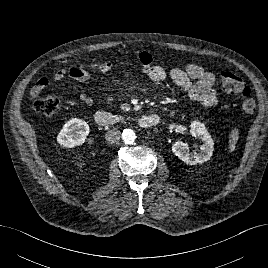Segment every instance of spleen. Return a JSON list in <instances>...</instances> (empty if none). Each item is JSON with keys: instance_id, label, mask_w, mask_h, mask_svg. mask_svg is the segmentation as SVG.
I'll list each match as a JSON object with an SVG mask.
<instances>
[{"instance_id": "3e777b00", "label": "spleen", "mask_w": 268, "mask_h": 268, "mask_svg": "<svg viewBox=\"0 0 268 268\" xmlns=\"http://www.w3.org/2000/svg\"><path fill=\"white\" fill-rule=\"evenodd\" d=\"M238 140V129H234L230 136V150L233 151L235 149V144Z\"/></svg>"}]
</instances>
